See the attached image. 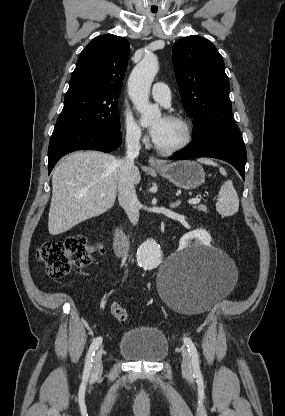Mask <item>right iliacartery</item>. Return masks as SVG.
<instances>
[{
  "label": "right iliac artery",
  "instance_id": "obj_1",
  "mask_svg": "<svg viewBox=\"0 0 285 416\" xmlns=\"http://www.w3.org/2000/svg\"><path fill=\"white\" fill-rule=\"evenodd\" d=\"M102 340H103L102 337L99 336V337L95 338L94 341L92 342V344L90 345V348L88 350L87 357H86L84 371H83V378H88L89 377L90 370H91V367H92L93 357L95 355L96 350L98 349V347L102 343Z\"/></svg>",
  "mask_w": 285,
  "mask_h": 416
}]
</instances>
